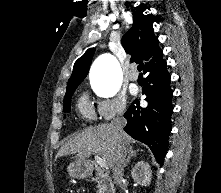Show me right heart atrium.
<instances>
[{
  "mask_svg": "<svg viewBox=\"0 0 221 193\" xmlns=\"http://www.w3.org/2000/svg\"><path fill=\"white\" fill-rule=\"evenodd\" d=\"M126 109V98L122 94H114L109 98L98 99L95 105L96 113L103 121H110L118 116H122Z\"/></svg>",
  "mask_w": 221,
  "mask_h": 193,
  "instance_id": "obj_1",
  "label": "right heart atrium"
}]
</instances>
